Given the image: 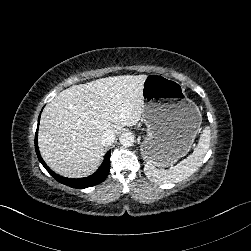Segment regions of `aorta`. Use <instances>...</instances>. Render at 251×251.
<instances>
[{
	"mask_svg": "<svg viewBox=\"0 0 251 251\" xmlns=\"http://www.w3.org/2000/svg\"><path fill=\"white\" fill-rule=\"evenodd\" d=\"M134 140H135V137L130 132L122 133L120 138H119V141H120L121 145H123L125 147L132 146L133 143H134Z\"/></svg>",
	"mask_w": 251,
	"mask_h": 251,
	"instance_id": "762f6f07",
	"label": "aorta"
}]
</instances>
